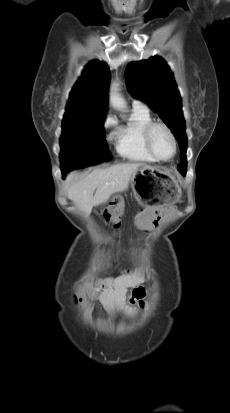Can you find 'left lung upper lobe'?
I'll return each mask as SVG.
<instances>
[{
  "instance_id": "1",
  "label": "left lung upper lobe",
  "mask_w": 230,
  "mask_h": 413,
  "mask_svg": "<svg viewBox=\"0 0 230 413\" xmlns=\"http://www.w3.org/2000/svg\"><path fill=\"white\" fill-rule=\"evenodd\" d=\"M125 75L130 93L146 102L171 129L180 146L181 163L178 170L186 172V125L182 100L170 68L162 58L155 56L130 63Z\"/></svg>"
}]
</instances>
